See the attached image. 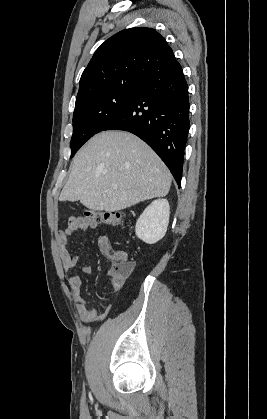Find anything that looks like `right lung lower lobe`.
I'll list each match as a JSON object with an SVG mask.
<instances>
[{"mask_svg": "<svg viewBox=\"0 0 267 419\" xmlns=\"http://www.w3.org/2000/svg\"><path fill=\"white\" fill-rule=\"evenodd\" d=\"M188 85L175 61L151 75L124 109L103 129L131 132L164 161L181 185L184 149L190 128Z\"/></svg>", "mask_w": 267, "mask_h": 419, "instance_id": "obj_1", "label": "right lung lower lobe"}]
</instances>
